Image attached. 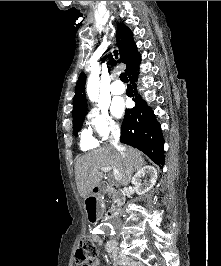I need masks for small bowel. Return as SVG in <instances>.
<instances>
[{
	"instance_id": "obj_1",
	"label": "small bowel",
	"mask_w": 221,
	"mask_h": 266,
	"mask_svg": "<svg viewBox=\"0 0 221 266\" xmlns=\"http://www.w3.org/2000/svg\"><path fill=\"white\" fill-rule=\"evenodd\" d=\"M107 253L112 259L114 265L116 266H145L144 263L140 261H134L131 258L120 254L117 250H114L112 248H108ZM93 266H96V265H93Z\"/></svg>"
}]
</instances>
